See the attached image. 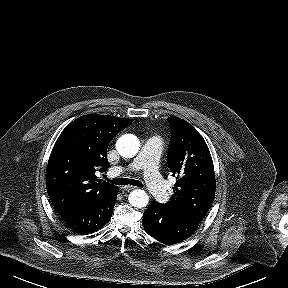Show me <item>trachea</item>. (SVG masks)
<instances>
[{
	"mask_svg": "<svg viewBox=\"0 0 288 288\" xmlns=\"http://www.w3.org/2000/svg\"><path fill=\"white\" fill-rule=\"evenodd\" d=\"M109 182L112 184H115V185H128V184H130V185L137 186V187H143L142 182H140L139 180L128 179V178L113 179V180H109Z\"/></svg>",
	"mask_w": 288,
	"mask_h": 288,
	"instance_id": "3493384b",
	"label": "trachea"
}]
</instances>
